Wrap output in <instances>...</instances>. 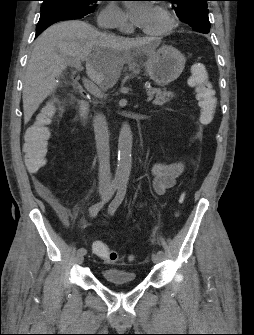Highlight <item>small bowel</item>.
I'll return each instance as SVG.
<instances>
[{
    "mask_svg": "<svg viewBox=\"0 0 254 335\" xmlns=\"http://www.w3.org/2000/svg\"><path fill=\"white\" fill-rule=\"evenodd\" d=\"M183 170H184V164L181 162L170 163V164L165 163L156 164L153 168V174H154L153 187L155 192L159 195L165 194L169 189H171L175 185L177 178L182 174ZM69 219H70L69 216L64 218L63 223L65 225H68ZM85 226L86 221L83 220L81 222L80 227L84 228ZM94 244L103 245L104 243L101 241H96L93 243V246ZM93 252L95 253L94 249Z\"/></svg>",
    "mask_w": 254,
    "mask_h": 335,
    "instance_id": "c3829d8e",
    "label": "small bowel"
}]
</instances>
